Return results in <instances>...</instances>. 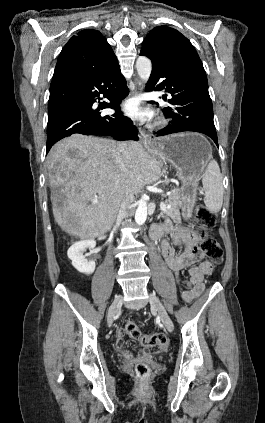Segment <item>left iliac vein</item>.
Instances as JSON below:
<instances>
[{
  "label": "left iliac vein",
  "instance_id": "4c4485c4",
  "mask_svg": "<svg viewBox=\"0 0 265 423\" xmlns=\"http://www.w3.org/2000/svg\"><path fill=\"white\" fill-rule=\"evenodd\" d=\"M149 302L151 307L157 311V313L159 314V317L161 318L163 324L165 325V327L167 328L168 331L172 332L174 330V325L173 322L171 320V318L169 317L166 309L164 308L163 304L160 302V300L156 297L155 294H150L149 295Z\"/></svg>",
  "mask_w": 265,
  "mask_h": 423
}]
</instances>
